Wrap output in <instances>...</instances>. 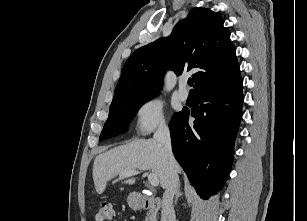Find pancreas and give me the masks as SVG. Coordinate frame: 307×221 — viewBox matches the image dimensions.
<instances>
[{"instance_id":"1","label":"pancreas","mask_w":307,"mask_h":221,"mask_svg":"<svg viewBox=\"0 0 307 221\" xmlns=\"http://www.w3.org/2000/svg\"><path fill=\"white\" fill-rule=\"evenodd\" d=\"M151 220H152L151 216L147 215L146 218H145V221H151Z\"/></svg>"}]
</instances>
